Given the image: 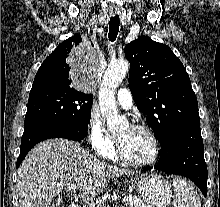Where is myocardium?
Wrapping results in <instances>:
<instances>
[{
  "label": "myocardium",
  "instance_id": "f54148a6",
  "mask_svg": "<svg viewBox=\"0 0 220 207\" xmlns=\"http://www.w3.org/2000/svg\"><path fill=\"white\" fill-rule=\"evenodd\" d=\"M130 127L134 128V129L142 130L150 137V139L153 143V155L150 159H148L146 161L131 160L130 158H128L126 156V154L123 151V148H122L120 141L118 140V138H116L115 154H116L117 158L120 161H122L123 163L130 165V166H134V167H146V166H150V165L154 164L157 161L159 154H160V144H159V140H158L156 134L149 126H147L145 124L135 123V124H132Z\"/></svg>",
  "mask_w": 220,
  "mask_h": 207
}]
</instances>
